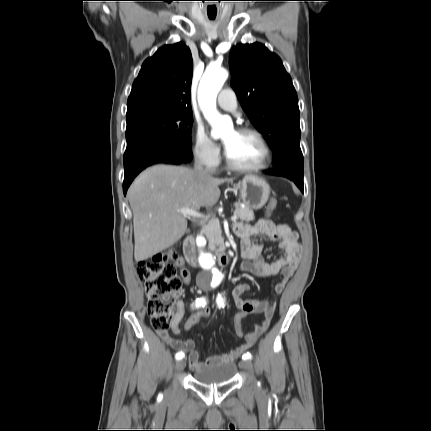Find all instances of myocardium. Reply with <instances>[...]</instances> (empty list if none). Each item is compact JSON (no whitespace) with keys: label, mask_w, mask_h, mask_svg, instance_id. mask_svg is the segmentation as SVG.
<instances>
[{"label":"myocardium","mask_w":431,"mask_h":431,"mask_svg":"<svg viewBox=\"0 0 431 431\" xmlns=\"http://www.w3.org/2000/svg\"><path fill=\"white\" fill-rule=\"evenodd\" d=\"M237 132L242 133V134H250V135L255 136L258 139V141L260 142L261 146L263 147L264 157H263V160L257 165L241 166V165L234 163L230 159L227 151H225V162H226L227 167L229 169L237 171V172H257V171H260V170L267 168L271 162V159H272V151H271L270 145L268 144V142L265 139V137L263 136V134L260 131H258L257 129L252 128V127H240L237 129Z\"/></svg>","instance_id":"obj_1"}]
</instances>
